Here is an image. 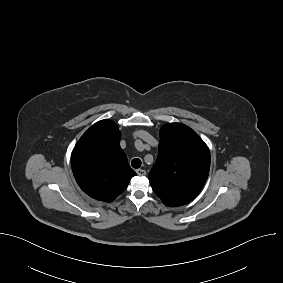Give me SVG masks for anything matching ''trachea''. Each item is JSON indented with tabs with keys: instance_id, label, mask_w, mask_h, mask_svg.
Listing matches in <instances>:
<instances>
[{
	"instance_id": "obj_1",
	"label": "trachea",
	"mask_w": 283,
	"mask_h": 283,
	"mask_svg": "<svg viewBox=\"0 0 283 283\" xmlns=\"http://www.w3.org/2000/svg\"><path fill=\"white\" fill-rule=\"evenodd\" d=\"M131 165L133 168L137 169V168H140L141 166V160L138 159V158H134L132 161H131Z\"/></svg>"
}]
</instances>
